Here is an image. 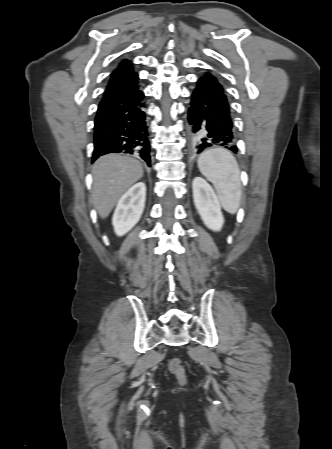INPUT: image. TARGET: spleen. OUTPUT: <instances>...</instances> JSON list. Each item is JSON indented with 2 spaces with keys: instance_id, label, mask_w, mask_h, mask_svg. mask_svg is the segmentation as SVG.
Here are the masks:
<instances>
[{
  "instance_id": "3e777b00",
  "label": "spleen",
  "mask_w": 332,
  "mask_h": 449,
  "mask_svg": "<svg viewBox=\"0 0 332 449\" xmlns=\"http://www.w3.org/2000/svg\"><path fill=\"white\" fill-rule=\"evenodd\" d=\"M200 172L214 185L222 207L235 214L241 201L240 169L226 149H210L198 158Z\"/></svg>"
}]
</instances>
